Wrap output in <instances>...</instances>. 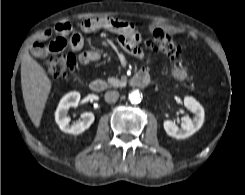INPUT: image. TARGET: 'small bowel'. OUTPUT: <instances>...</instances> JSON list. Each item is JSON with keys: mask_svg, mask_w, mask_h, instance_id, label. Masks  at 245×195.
Wrapping results in <instances>:
<instances>
[{"mask_svg": "<svg viewBox=\"0 0 245 195\" xmlns=\"http://www.w3.org/2000/svg\"><path fill=\"white\" fill-rule=\"evenodd\" d=\"M81 28L85 32H95L98 30H106L119 36L118 42L120 46L131 55L149 63L151 58L145 54L140 48L141 33L136 26L128 21L114 17H96L88 18L81 22ZM163 29L170 33H183V30L164 24H153L150 29ZM54 31L58 37L53 39L49 44L44 41L49 39L53 33L52 29H47L42 33L40 39L32 44L31 52L36 57H44L51 53H59L69 47L75 51H80L79 61L82 65H89L100 61L101 54L96 50L81 51L84 46V38L82 35L75 33L68 40L66 35L71 32V24L68 22H60L55 25ZM188 37L197 41L199 36L194 32H189ZM144 71V70H143Z\"/></svg>", "mask_w": 245, "mask_h": 195, "instance_id": "c3829d8e", "label": "small bowel"}]
</instances>
